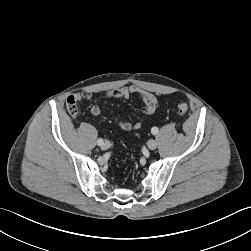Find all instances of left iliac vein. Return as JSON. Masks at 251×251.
<instances>
[{
	"label": "left iliac vein",
	"mask_w": 251,
	"mask_h": 251,
	"mask_svg": "<svg viewBox=\"0 0 251 251\" xmlns=\"http://www.w3.org/2000/svg\"><path fill=\"white\" fill-rule=\"evenodd\" d=\"M157 147V142L155 140H149L148 141V148L150 150H155Z\"/></svg>",
	"instance_id": "left-iliac-vein-1"
}]
</instances>
